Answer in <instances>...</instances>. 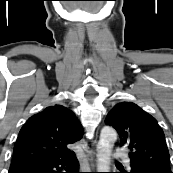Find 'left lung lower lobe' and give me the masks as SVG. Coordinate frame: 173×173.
Masks as SVG:
<instances>
[{"mask_svg": "<svg viewBox=\"0 0 173 173\" xmlns=\"http://www.w3.org/2000/svg\"><path fill=\"white\" fill-rule=\"evenodd\" d=\"M121 173H156V172L146 168L131 166L128 172L121 170Z\"/></svg>", "mask_w": 173, "mask_h": 173, "instance_id": "0a47b994", "label": "left lung lower lobe"}]
</instances>
